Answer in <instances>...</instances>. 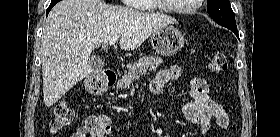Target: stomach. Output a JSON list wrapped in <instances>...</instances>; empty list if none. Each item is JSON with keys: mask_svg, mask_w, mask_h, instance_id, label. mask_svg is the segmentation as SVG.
Wrapping results in <instances>:
<instances>
[{"mask_svg": "<svg viewBox=\"0 0 280 137\" xmlns=\"http://www.w3.org/2000/svg\"><path fill=\"white\" fill-rule=\"evenodd\" d=\"M150 38L153 49L163 56L175 55L184 46L182 33L170 25L155 31Z\"/></svg>", "mask_w": 280, "mask_h": 137, "instance_id": "stomach-1", "label": "stomach"}]
</instances>
